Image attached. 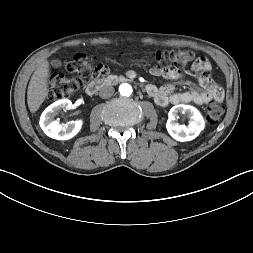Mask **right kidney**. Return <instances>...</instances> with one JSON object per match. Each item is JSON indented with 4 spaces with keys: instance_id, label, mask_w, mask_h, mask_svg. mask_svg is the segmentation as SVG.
I'll return each mask as SVG.
<instances>
[{
    "instance_id": "1",
    "label": "right kidney",
    "mask_w": 253,
    "mask_h": 253,
    "mask_svg": "<svg viewBox=\"0 0 253 253\" xmlns=\"http://www.w3.org/2000/svg\"><path fill=\"white\" fill-rule=\"evenodd\" d=\"M71 108L72 102L68 99H62L49 105L44 110L40 118V127L47 136L57 140H68L80 131L83 125L82 120L71 121L61 125L53 119L57 113L70 110Z\"/></svg>"
}]
</instances>
